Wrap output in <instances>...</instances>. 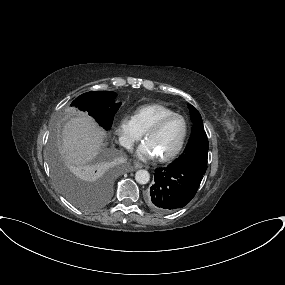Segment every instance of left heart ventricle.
Returning <instances> with one entry per match:
<instances>
[{"label":"left heart ventricle","instance_id":"1","mask_svg":"<svg viewBox=\"0 0 285 285\" xmlns=\"http://www.w3.org/2000/svg\"><path fill=\"white\" fill-rule=\"evenodd\" d=\"M184 132L183 121L179 118L172 119L156 133L146 138L157 156L166 155L172 152L180 143Z\"/></svg>","mask_w":285,"mask_h":285}]
</instances>
